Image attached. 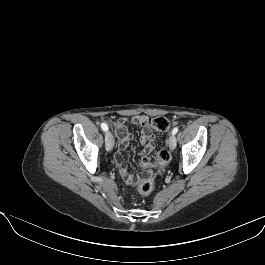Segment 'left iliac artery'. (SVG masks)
<instances>
[{"instance_id":"44dca946","label":"left iliac artery","mask_w":265,"mask_h":265,"mask_svg":"<svg viewBox=\"0 0 265 265\" xmlns=\"http://www.w3.org/2000/svg\"><path fill=\"white\" fill-rule=\"evenodd\" d=\"M179 128L178 127H175L173 130H172V134L175 135L177 132H178Z\"/></svg>"}]
</instances>
